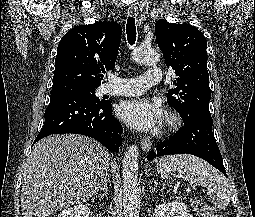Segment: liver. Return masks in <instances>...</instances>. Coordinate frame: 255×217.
<instances>
[{"instance_id": "liver-1", "label": "liver", "mask_w": 255, "mask_h": 217, "mask_svg": "<svg viewBox=\"0 0 255 217\" xmlns=\"http://www.w3.org/2000/svg\"><path fill=\"white\" fill-rule=\"evenodd\" d=\"M110 154L96 140L62 134L37 142L23 175V217H47L95 194L108 174Z\"/></svg>"}]
</instances>
